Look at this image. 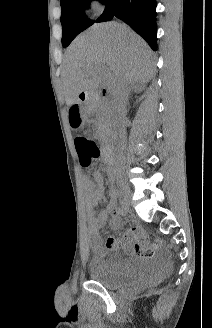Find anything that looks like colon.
Instances as JSON below:
<instances>
[{"label": "colon", "mask_w": 212, "mask_h": 328, "mask_svg": "<svg viewBox=\"0 0 212 328\" xmlns=\"http://www.w3.org/2000/svg\"><path fill=\"white\" fill-rule=\"evenodd\" d=\"M74 145L82 167H89L99 157L100 151L95 141L84 135H77L74 139ZM108 245L111 244L108 243Z\"/></svg>", "instance_id": "5ec220e1"}]
</instances>
